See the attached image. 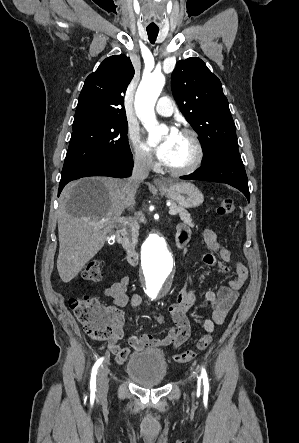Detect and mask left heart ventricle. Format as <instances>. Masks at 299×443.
Here are the masks:
<instances>
[{
	"label": "left heart ventricle",
	"instance_id": "1",
	"mask_svg": "<svg viewBox=\"0 0 299 443\" xmlns=\"http://www.w3.org/2000/svg\"><path fill=\"white\" fill-rule=\"evenodd\" d=\"M193 156L194 148L190 138L186 135L178 134L168 151L166 160L163 163L176 168L184 167L191 162Z\"/></svg>",
	"mask_w": 299,
	"mask_h": 443
}]
</instances>
